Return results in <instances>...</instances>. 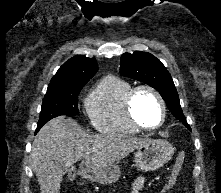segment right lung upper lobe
Returning <instances> with one entry per match:
<instances>
[{
    "label": "right lung upper lobe",
    "mask_w": 221,
    "mask_h": 193,
    "mask_svg": "<svg viewBox=\"0 0 221 193\" xmlns=\"http://www.w3.org/2000/svg\"><path fill=\"white\" fill-rule=\"evenodd\" d=\"M97 71L96 59L76 55L59 68L47 90L85 85Z\"/></svg>",
    "instance_id": "cb5924a9"
}]
</instances>
